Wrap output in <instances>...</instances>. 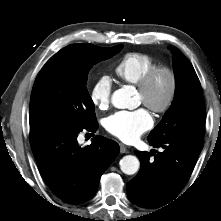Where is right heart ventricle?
I'll use <instances>...</instances> for the list:
<instances>
[{
    "instance_id": "obj_1",
    "label": "right heart ventricle",
    "mask_w": 221,
    "mask_h": 221,
    "mask_svg": "<svg viewBox=\"0 0 221 221\" xmlns=\"http://www.w3.org/2000/svg\"><path fill=\"white\" fill-rule=\"evenodd\" d=\"M156 64V59L149 54L127 53L117 63L115 73L122 81L137 85L141 78Z\"/></svg>"
}]
</instances>
